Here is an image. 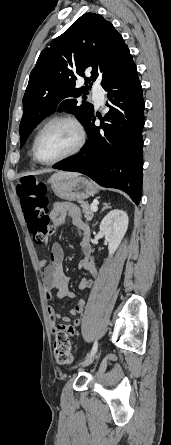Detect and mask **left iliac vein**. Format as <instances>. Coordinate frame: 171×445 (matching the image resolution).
<instances>
[{
  "mask_svg": "<svg viewBox=\"0 0 171 445\" xmlns=\"http://www.w3.org/2000/svg\"><path fill=\"white\" fill-rule=\"evenodd\" d=\"M98 355V351H96L94 354L90 355L89 357H87L80 365L79 367H85L90 365L94 359L96 358V356Z\"/></svg>",
  "mask_w": 171,
  "mask_h": 445,
  "instance_id": "1",
  "label": "left iliac vein"
}]
</instances>
